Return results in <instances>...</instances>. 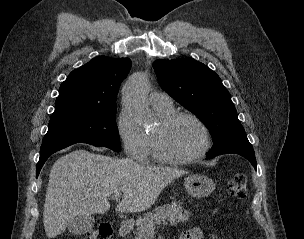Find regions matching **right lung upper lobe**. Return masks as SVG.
I'll use <instances>...</instances> for the list:
<instances>
[{"mask_svg": "<svg viewBox=\"0 0 304 239\" xmlns=\"http://www.w3.org/2000/svg\"><path fill=\"white\" fill-rule=\"evenodd\" d=\"M131 67L129 58H94L73 70L59 88L55 112L116 105L119 86Z\"/></svg>", "mask_w": 304, "mask_h": 239, "instance_id": "obj_1", "label": "right lung upper lobe"}]
</instances>
